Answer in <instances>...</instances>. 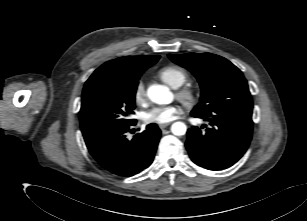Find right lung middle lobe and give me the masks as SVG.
<instances>
[{
	"instance_id": "dd1d6c3e",
	"label": "right lung middle lobe",
	"mask_w": 307,
	"mask_h": 221,
	"mask_svg": "<svg viewBox=\"0 0 307 221\" xmlns=\"http://www.w3.org/2000/svg\"><path fill=\"white\" fill-rule=\"evenodd\" d=\"M143 72L100 75L87 80L79 112L86 143L135 123L129 116L135 108V93Z\"/></svg>"
}]
</instances>
